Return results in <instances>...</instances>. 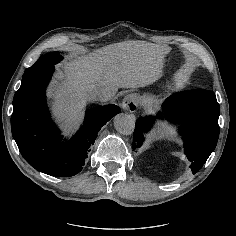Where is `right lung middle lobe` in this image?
<instances>
[{
    "mask_svg": "<svg viewBox=\"0 0 236 236\" xmlns=\"http://www.w3.org/2000/svg\"><path fill=\"white\" fill-rule=\"evenodd\" d=\"M62 60V56L59 54V52H50L48 54H45L41 56L34 65H32L30 68H27L23 74V78L27 77L28 75L45 69L47 67L53 66L59 61ZM22 78V79H23Z\"/></svg>",
    "mask_w": 236,
    "mask_h": 236,
    "instance_id": "1",
    "label": "right lung middle lobe"
}]
</instances>
